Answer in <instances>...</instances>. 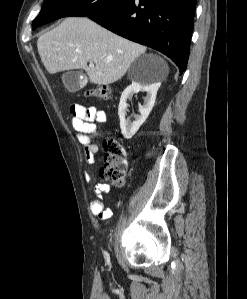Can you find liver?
Here are the masks:
<instances>
[{
    "label": "liver",
    "instance_id": "liver-1",
    "mask_svg": "<svg viewBox=\"0 0 247 299\" xmlns=\"http://www.w3.org/2000/svg\"><path fill=\"white\" fill-rule=\"evenodd\" d=\"M37 48L50 74L84 69L91 83L108 85L121 79L146 48L103 28L89 18L71 17L38 38ZM164 77L168 66L159 59ZM93 62L94 67L87 65Z\"/></svg>",
    "mask_w": 247,
    "mask_h": 299
}]
</instances>
